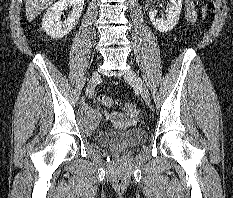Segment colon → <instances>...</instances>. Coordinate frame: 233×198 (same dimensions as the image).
Returning <instances> with one entry per match:
<instances>
[{"instance_id":"5ec220e1","label":"colon","mask_w":233,"mask_h":198,"mask_svg":"<svg viewBox=\"0 0 233 198\" xmlns=\"http://www.w3.org/2000/svg\"><path fill=\"white\" fill-rule=\"evenodd\" d=\"M207 12L206 7L204 8V13ZM98 103L105 106V107H113L117 104L115 100L112 98L106 96V95H100L98 97ZM123 112L128 117H135L138 114V108L134 103L126 102L123 104Z\"/></svg>"}]
</instances>
